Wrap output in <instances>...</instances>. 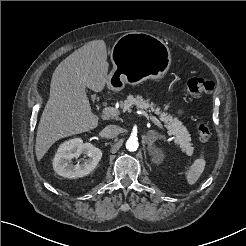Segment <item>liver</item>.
I'll list each match as a JSON object with an SVG mask.
<instances>
[{"label": "liver", "instance_id": "1", "mask_svg": "<svg viewBox=\"0 0 246 246\" xmlns=\"http://www.w3.org/2000/svg\"><path fill=\"white\" fill-rule=\"evenodd\" d=\"M108 68L103 40L85 44L56 67L50 97L37 129V160H41L56 141L98 126L99 118L91 111L85 89L101 92L108 81Z\"/></svg>", "mask_w": 246, "mask_h": 246}]
</instances>
